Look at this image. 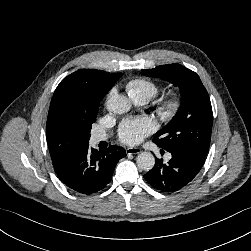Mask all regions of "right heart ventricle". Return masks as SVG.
Listing matches in <instances>:
<instances>
[{
	"mask_svg": "<svg viewBox=\"0 0 251 251\" xmlns=\"http://www.w3.org/2000/svg\"><path fill=\"white\" fill-rule=\"evenodd\" d=\"M126 88L131 98H145L148 101L159 92V87L156 83L144 78L130 81Z\"/></svg>",
	"mask_w": 251,
	"mask_h": 251,
	"instance_id": "e07e8e85",
	"label": "right heart ventricle"
}]
</instances>
